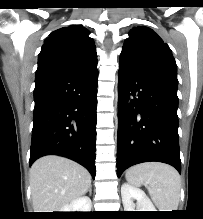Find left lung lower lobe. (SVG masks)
I'll return each mask as SVG.
<instances>
[{
	"label": "left lung lower lobe",
	"instance_id": "obj_1",
	"mask_svg": "<svg viewBox=\"0 0 203 219\" xmlns=\"http://www.w3.org/2000/svg\"><path fill=\"white\" fill-rule=\"evenodd\" d=\"M117 175L158 161L181 173L177 83L119 63Z\"/></svg>",
	"mask_w": 203,
	"mask_h": 219
}]
</instances>
